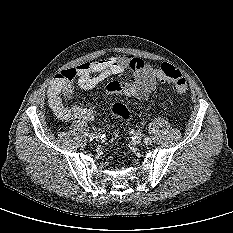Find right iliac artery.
Returning a JSON list of instances; mask_svg holds the SVG:
<instances>
[{"instance_id":"obj_1","label":"right iliac artery","mask_w":233,"mask_h":233,"mask_svg":"<svg viewBox=\"0 0 233 233\" xmlns=\"http://www.w3.org/2000/svg\"><path fill=\"white\" fill-rule=\"evenodd\" d=\"M95 133H91L90 135H89V139L92 141L94 138H95Z\"/></svg>"}]
</instances>
